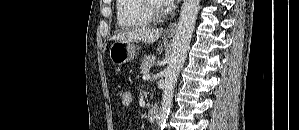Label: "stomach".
<instances>
[{"label":"stomach","instance_id":"1","mask_svg":"<svg viewBox=\"0 0 299 130\" xmlns=\"http://www.w3.org/2000/svg\"><path fill=\"white\" fill-rule=\"evenodd\" d=\"M136 48L133 42L115 41L109 49V58L115 65H121L133 60Z\"/></svg>","mask_w":299,"mask_h":130}]
</instances>
